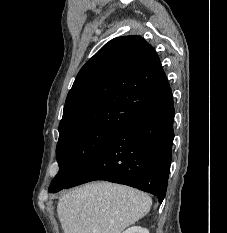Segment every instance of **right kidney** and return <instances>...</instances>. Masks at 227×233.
<instances>
[{
    "mask_svg": "<svg viewBox=\"0 0 227 233\" xmlns=\"http://www.w3.org/2000/svg\"><path fill=\"white\" fill-rule=\"evenodd\" d=\"M123 233H149L146 228H142L140 226H133L125 230Z\"/></svg>",
    "mask_w": 227,
    "mask_h": 233,
    "instance_id": "obj_1",
    "label": "right kidney"
}]
</instances>
